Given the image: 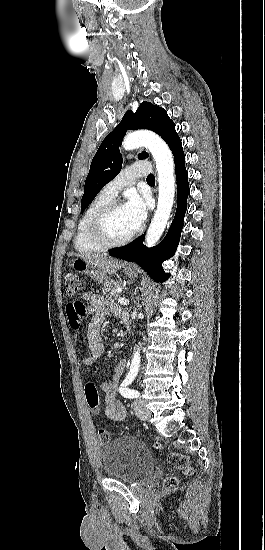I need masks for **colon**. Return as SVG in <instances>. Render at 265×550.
<instances>
[{
  "mask_svg": "<svg viewBox=\"0 0 265 550\" xmlns=\"http://www.w3.org/2000/svg\"><path fill=\"white\" fill-rule=\"evenodd\" d=\"M84 279L82 276H80L77 273L74 272H67L64 275V286H65V292L68 296H76L84 289ZM75 303L80 307L79 313L76 315V317H72L69 320V324L72 328H75L80 325V321L82 318V314L84 312L85 305L81 301H75ZM84 397L85 402L89 409L95 413H100V399H99V393L97 390V387L94 383H87L84 387ZM98 438L101 444H107L110 441V433L107 429L101 428L98 431ZM156 449H161V444L157 443L155 445ZM168 463L181 471H183L185 474H190L193 471V468L190 464L189 459L179 453L171 452L168 455ZM177 483L176 478L171 477L167 480L166 484L168 486H174Z\"/></svg>",
  "mask_w": 265,
  "mask_h": 550,
  "instance_id": "obj_1",
  "label": "colon"
}]
</instances>
